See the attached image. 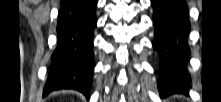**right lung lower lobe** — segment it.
I'll return each instance as SVG.
<instances>
[{
  "label": "right lung lower lobe",
  "mask_w": 221,
  "mask_h": 102,
  "mask_svg": "<svg viewBox=\"0 0 221 102\" xmlns=\"http://www.w3.org/2000/svg\"><path fill=\"white\" fill-rule=\"evenodd\" d=\"M97 0H64L57 21V46L51 56L44 95L74 89L90 98L93 32Z\"/></svg>",
  "instance_id": "obj_1"
}]
</instances>
